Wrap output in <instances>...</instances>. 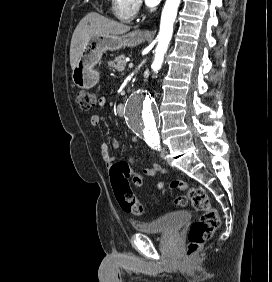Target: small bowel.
<instances>
[{
	"label": "small bowel",
	"instance_id": "c3829d8e",
	"mask_svg": "<svg viewBox=\"0 0 272 282\" xmlns=\"http://www.w3.org/2000/svg\"><path fill=\"white\" fill-rule=\"evenodd\" d=\"M104 105H105V99L101 98L99 101V106L102 108ZM100 120H101L100 115L94 114L90 118V123L93 126H97L100 123ZM132 141L137 143L138 137H133ZM111 146L113 149H118L119 142L116 139H113L111 141ZM100 150H101L103 161L107 166H110L114 161V157L109 153V144L107 142L101 143ZM133 163H134V156H131L127 161L123 162L124 166L127 167L128 169H130ZM143 166H144L143 173L147 176H153L156 173V171L162 170L161 167L155 163L152 164L151 166H147L146 162H143ZM162 186L163 184L161 182L157 184V187L159 188Z\"/></svg>",
	"mask_w": 272,
	"mask_h": 282
}]
</instances>
